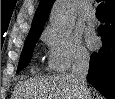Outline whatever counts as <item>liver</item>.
I'll return each instance as SVG.
<instances>
[{
    "mask_svg": "<svg viewBox=\"0 0 115 99\" xmlns=\"http://www.w3.org/2000/svg\"><path fill=\"white\" fill-rule=\"evenodd\" d=\"M80 97V91L70 73L20 81L12 95V99H81Z\"/></svg>",
    "mask_w": 115,
    "mask_h": 99,
    "instance_id": "1",
    "label": "liver"
}]
</instances>
